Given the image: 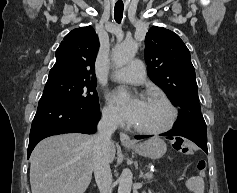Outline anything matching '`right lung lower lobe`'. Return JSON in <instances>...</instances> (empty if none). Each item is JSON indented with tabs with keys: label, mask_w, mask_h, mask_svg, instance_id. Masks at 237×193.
Segmentation results:
<instances>
[{
	"label": "right lung lower lobe",
	"mask_w": 237,
	"mask_h": 193,
	"mask_svg": "<svg viewBox=\"0 0 237 193\" xmlns=\"http://www.w3.org/2000/svg\"><path fill=\"white\" fill-rule=\"evenodd\" d=\"M100 117L99 107L85 109L60 101L40 100L31 126L28 158L37 143L46 137L64 133H94Z\"/></svg>",
	"instance_id": "1"
}]
</instances>
